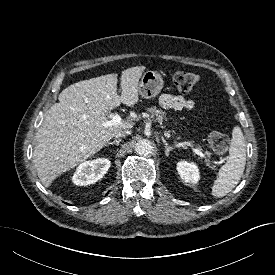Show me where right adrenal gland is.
I'll use <instances>...</instances> for the list:
<instances>
[{"label":"right adrenal gland","mask_w":275,"mask_h":275,"mask_svg":"<svg viewBox=\"0 0 275 275\" xmlns=\"http://www.w3.org/2000/svg\"><path fill=\"white\" fill-rule=\"evenodd\" d=\"M120 142H121V138H118V139L114 140L113 142H108L107 144H105V146H109V145H113V144L118 146Z\"/></svg>","instance_id":"2a0ac1e0"}]
</instances>
